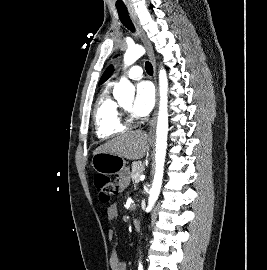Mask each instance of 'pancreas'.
I'll return each mask as SVG.
<instances>
[{"label": "pancreas", "instance_id": "pancreas-1", "mask_svg": "<svg viewBox=\"0 0 267 270\" xmlns=\"http://www.w3.org/2000/svg\"><path fill=\"white\" fill-rule=\"evenodd\" d=\"M144 170H145V166L143 162L141 161L133 162L132 173H131L132 180L135 182H138V179Z\"/></svg>", "mask_w": 267, "mask_h": 270}]
</instances>
